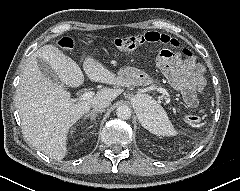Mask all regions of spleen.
Returning a JSON list of instances; mask_svg holds the SVG:
<instances>
[{
    "label": "spleen",
    "instance_id": "spleen-1",
    "mask_svg": "<svg viewBox=\"0 0 240 191\" xmlns=\"http://www.w3.org/2000/svg\"><path fill=\"white\" fill-rule=\"evenodd\" d=\"M145 98L150 105L146 106L145 113L140 116L142 125L151 133L159 136L175 135L176 131L163 108L153 104L148 97Z\"/></svg>",
    "mask_w": 240,
    "mask_h": 191
}]
</instances>
